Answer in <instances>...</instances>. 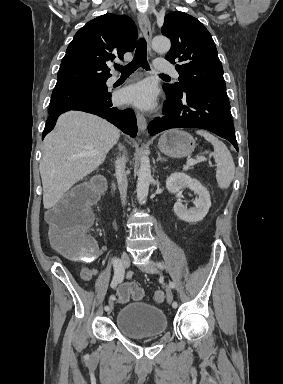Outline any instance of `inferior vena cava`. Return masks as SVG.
<instances>
[{"label": "inferior vena cava", "instance_id": "1", "mask_svg": "<svg viewBox=\"0 0 283 384\" xmlns=\"http://www.w3.org/2000/svg\"><path fill=\"white\" fill-rule=\"evenodd\" d=\"M126 158H118L116 162V178L118 180L119 192L122 200V204H125L126 196H127V176L125 174L126 168Z\"/></svg>", "mask_w": 283, "mask_h": 384}]
</instances>
